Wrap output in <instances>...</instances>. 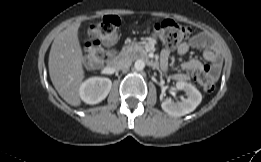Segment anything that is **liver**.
I'll use <instances>...</instances> for the list:
<instances>
[{"mask_svg":"<svg viewBox=\"0 0 261 162\" xmlns=\"http://www.w3.org/2000/svg\"><path fill=\"white\" fill-rule=\"evenodd\" d=\"M80 22L58 33L49 53V75L59 95L70 105L80 106L79 87L84 79L83 54L78 39Z\"/></svg>","mask_w":261,"mask_h":162,"instance_id":"liver-1","label":"liver"}]
</instances>
